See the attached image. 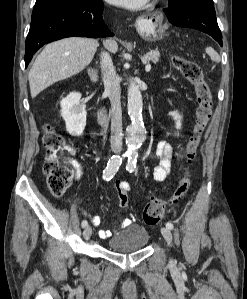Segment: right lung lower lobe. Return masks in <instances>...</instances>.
Instances as JSON below:
<instances>
[{"label":"right lung lower lobe","mask_w":247,"mask_h":299,"mask_svg":"<svg viewBox=\"0 0 247 299\" xmlns=\"http://www.w3.org/2000/svg\"><path fill=\"white\" fill-rule=\"evenodd\" d=\"M102 0H80L56 6L32 18L26 39L25 67L44 44L65 37H112L104 24Z\"/></svg>","instance_id":"obj_1"}]
</instances>
